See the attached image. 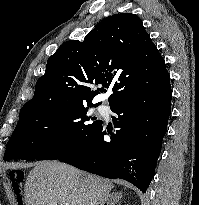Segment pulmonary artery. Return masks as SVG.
<instances>
[{"instance_id": "e3ab8cb5", "label": "pulmonary artery", "mask_w": 199, "mask_h": 205, "mask_svg": "<svg viewBox=\"0 0 199 205\" xmlns=\"http://www.w3.org/2000/svg\"><path fill=\"white\" fill-rule=\"evenodd\" d=\"M98 111L101 113H107V108L104 105L98 107Z\"/></svg>"}]
</instances>
